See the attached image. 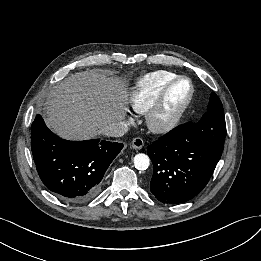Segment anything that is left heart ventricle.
Here are the masks:
<instances>
[{"label":"left heart ventricle","mask_w":261,"mask_h":261,"mask_svg":"<svg viewBox=\"0 0 261 261\" xmlns=\"http://www.w3.org/2000/svg\"><path fill=\"white\" fill-rule=\"evenodd\" d=\"M189 94V83L186 80L178 82L168 96L162 120L169 119L180 108Z\"/></svg>","instance_id":"1"}]
</instances>
